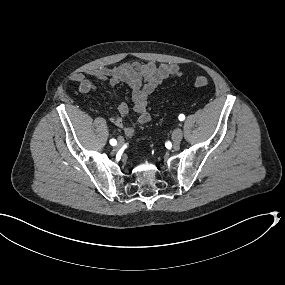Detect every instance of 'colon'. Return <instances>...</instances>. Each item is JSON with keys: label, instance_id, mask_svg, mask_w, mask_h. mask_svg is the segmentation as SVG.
Here are the masks:
<instances>
[{"label": "colon", "instance_id": "1", "mask_svg": "<svg viewBox=\"0 0 285 285\" xmlns=\"http://www.w3.org/2000/svg\"><path fill=\"white\" fill-rule=\"evenodd\" d=\"M191 84L196 88H202L208 86L210 84V81L204 76H199L193 79Z\"/></svg>", "mask_w": 285, "mask_h": 285}]
</instances>
